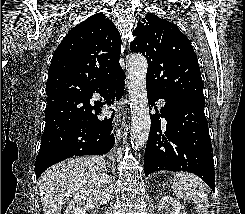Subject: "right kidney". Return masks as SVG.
I'll use <instances>...</instances> for the list:
<instances>
[{"label":"right kidney","mask_w":245,"mask_h":214,"mask_svg":"<svg viewBox=\"0 0 245 214\" xmlns=\"http://www.w3.org/2000/svg\"><path fill=\"white\" fill-rule=\"evenodd\" d=\"M112 193L111 177L105 173H97L89 179L88 185L74 195L64 214H85V207L92 200H98L101 205H105L110 201Z\"/></svg>","instance_id":"obj_1"}]
</instances>
